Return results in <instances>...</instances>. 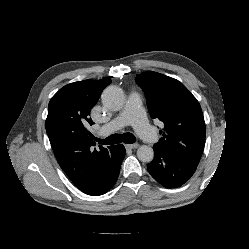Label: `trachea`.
<instances>
[{
    "label": "trachea",
    "mask_w": 249,
    "mask_h": 249,
    "mask_svg": "<svg viewBox=\"0 0 249 249\" xmlns=\"http://www.w3.org/2000/svg\"><path fill=\"white\" fill-rule=\"evenodd\" d=\"M95 141H97L99 144H107V145H112V144H118L121 142L127 143V144H132L136 141L135 136L132 133H124V134H113L106 139H99L96 137H92Z\"/></svg>",
    "instance_id": "3493384b"
}]
</instances>
